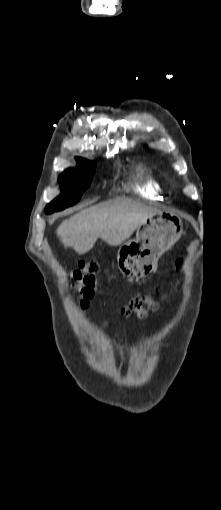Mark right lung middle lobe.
I'll use <instances>...</instances> for the list:
<instances>
[{
  "label": "right lung middle lobe",
  "mask_w": 221,
  "mask_h": 510,
  "mask_svg": "<svg viewBox=\"0 0 221 510\" xmlns=\"http://www.w3.org/2000/svg\"><path fill=\"white\" fill-rule=\"evenodd\" d=\"M93 165V162L88 161L77 169L66 170L59 177L62 193L46 206L45 212L47 214L63 210L66 207L76 204L80 200L83 192L91 183Z\"/></svg>",
  "instance_id": "1"
}]
</instances>
